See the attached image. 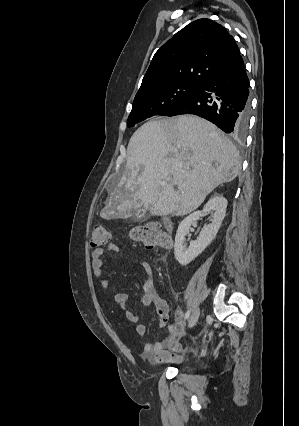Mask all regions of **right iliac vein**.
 I'll use <instances>...</instances> for the list:
<instances>
[{
	"instance_id": "63e3f726",
	"label": "right iliac vein",
	"mask_w": 299,
	"mask_h": 426,
	"mask_svg": "<svg viewBox=\"0 0 299 426\" xmlns=\"http://www.w3.org/2000/svg\"><path fill=\"white\" fill-rule=\"evenodd\" d=\"M199 315H200V310L198 308H196L192 312V314H191V316H190V318L188 320V328H192L196 324V322H197V320L199 318Z\"/></svg>"
}]
</instances>
